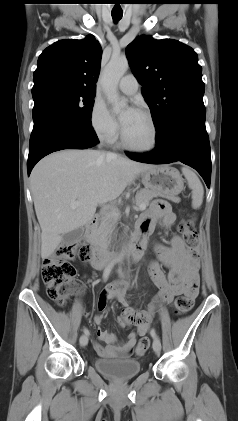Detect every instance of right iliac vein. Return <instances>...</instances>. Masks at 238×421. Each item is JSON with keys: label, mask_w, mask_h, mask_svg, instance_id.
<instances>
[{"label": "right iliac vein", "mask_w": 238, "mask_h": 421, "mask_svg": "<svg viewBox=\"0 0 238 421\" xmlns=\"http://www.w3.org/2000/svg\"><path fill=\"white\" fill-rule=\"evenodd\" d=\"M79 342H80V345L81 346H86L87 344H88V335H86V334H83L81 337H80V340H79Z\"/></svg>", "instance_id": "obj_1"}]
</instances>
